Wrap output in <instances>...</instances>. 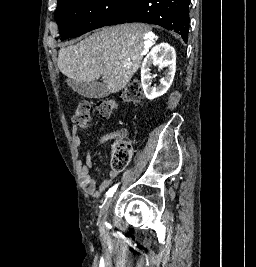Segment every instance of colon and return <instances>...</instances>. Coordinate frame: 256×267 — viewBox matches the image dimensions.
Here are the masks:
<instances>
[{"label":"colon","instance_id":"obj_1","mask_svg":"<svg viewBox=\"0 0 256 267\" xmlns=\"http://www.w3.org/2000/svg\"><path fill=\"white\" fill-rule=\"evenodd\" d=\"M142 99V88L138 81H131L120 92L119 101L122 104H136ZM118 103L114 99H102L97 104V112L101 118H110L117 109ZM92 104L89 100L79 102L74 110L73 123L77 129L83 130L89 126ZM132 147L127 144H115L111 155V164L115 169H123L132 156Z\"/></svg>","mask_w":256,"mask_h":267}]
</instances>
